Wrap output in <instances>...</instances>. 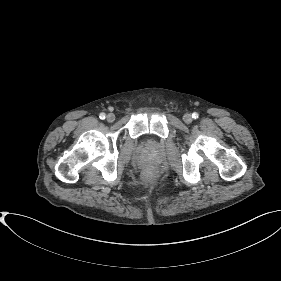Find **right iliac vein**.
<instances>
[{
	"label": "right iliac vein",
	"instance_id": "1",
	"mask_svg": "<svg viewBox=\"0 0 281 281\" xmlns=\"http://www.w3.org/2000/svg\"><path fill=\"white\" fill-rule=\"evenodd\" d=\"M106 119L108 122H113L115 120V115L113 113H109Z\"/></svg>",
	"mask_w": 281,
	"mask_h": 281
}]
</instances>
